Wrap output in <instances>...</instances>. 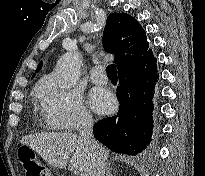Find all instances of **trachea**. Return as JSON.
Listing matches in <instances>:
<instances>
[{
  "instance_id": "3493384b",
  "label": "trachea",
  "mask_w": 205,
  "mask_h": 176,
  "mask_svg": "<svg viewBox=\"0 0 205 176\" xmlns=\"http://www.w3.org/2000/svg\"><path fill=\"white\" fill-rule=\"evenodd\" d=\"M106 71L109 77H117L116 66L114 64L108 65Z\"/></svg>"
}]
</instances>
